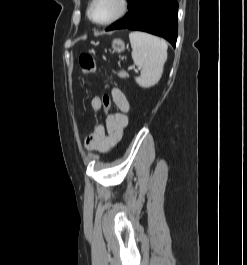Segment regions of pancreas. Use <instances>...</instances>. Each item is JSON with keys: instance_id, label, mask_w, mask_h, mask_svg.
I'll use <instances>...</instances> for the list:
<instances>
[{"instance_id": "1", "label": "pancreas", "mask_w": 247, "mask_h": 265, "mask_svg": "<svg viewBox=\"0 0 247 265\" xmlns=\"http://www.w3.org/2000/svg\"><path fill=\"white\" fill-rule=\"evenodd\" d=\"M118 76L123 78V79H126L129 75L126 71L124 70H121L119 73H118Z\"/></svg>"}]
</instances>
